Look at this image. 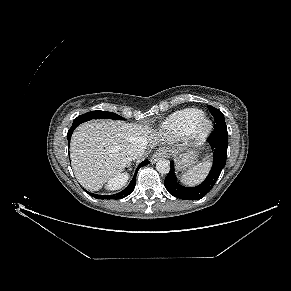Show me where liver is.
I'll list each match as a JSON object with an SVG mask.
<instances>
[{"instance_id": "6515ba94", "label": "liver", "mask_w": 291, "mask_h": 291, "mask_svg": "<svg viewBox=\"0 0 291 291\" xmlns=\"http://www.w3.org/2000/svg\"><path fill=\"white\" fill-rule=\"evenodd\" d=\"M157 144V137L147 125L123 121H91L74 131L70 143L71 164L78 182L89 191L122 174L131 158L132 145Z\"/></svg>"}]
</instances>
